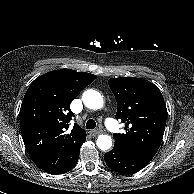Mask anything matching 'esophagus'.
Here are the masks:
<instances>
[{"label": "esophagus", "mask_w": 194, "mask_h": 194, "mask_svg": "<svg viewBox=\"0 0 194 194\" xmlns=\"http://www.w3.org/2000/svg\"><path fill=\"white\" fill-rule=\"evenodd\" d=\"M100 133H102V130H100V129H96V130H91V131H90V134H91L92 136H97V135H99Z\"/></svg>", "instance_id": "1"}]
</instances>
